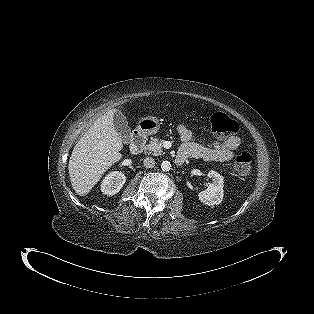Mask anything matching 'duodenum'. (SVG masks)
I'll use <instances>...</instances> for the list:
<instances>
[{
    "mask_svg": "<svg viewBox=\"0 0 314 314\" xmlns=\"http://www.w3.org/2000/svg\"><path fill=\"white\" fill-rule=\"evenodd\" d=\"M146 142V136L143 132L137 131L134 133L130 150L132 154H140L144 148ZM184 158L182 156H177V162L178 164H182L184 162Z\"/></svg>",
    "mask_w": 314,
    "mask_h": 314,
    "instance_id": "obj_1",
    "label": "duodenum"
}]
</instances>
